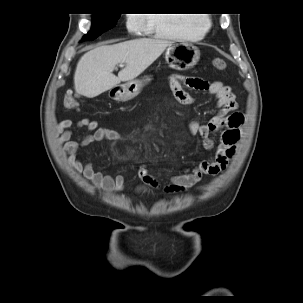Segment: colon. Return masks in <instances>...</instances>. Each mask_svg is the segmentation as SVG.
<instances>
[{
    "label": "colon",
    "mask_w": 303,
    "mask_h": 303,
    "mask_svg": "<svg viewBox=\"0 0 303 303\" xmlns=\"http://www.w3.org/2000/svg\"><path fill=\"white\" fill-rule=\"evenodd\" d=\"M214 68L218 69V70H224L226 69V61L224 59L221 58H215L212 62ZM66 105L71 108V109H79V104L77 101L73 100V99H68L66 101Z\"/></svg>",
    "instance_id": "obj_1"
}]
</instances>
